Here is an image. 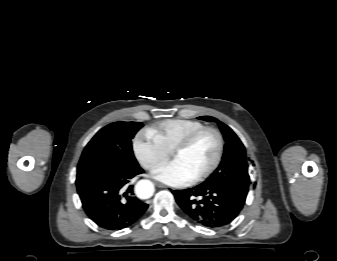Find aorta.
<instances>
[{"label": "aorta", "mask_w": 337, "mask_h": 261, "mask_svg": "<svg viewBox=\"0 0 337 261\" xmlns=\"http://www.w3.org/2000/svg\"><path fill=\"white\" fill-rule=\"evenodd\" d=\"M136 195L141 199H148L154 193V185L150 180H140L135 186Z\"/></svg>", "instance_id": "1"}]
</instances>
